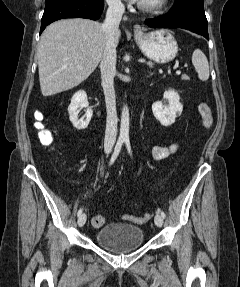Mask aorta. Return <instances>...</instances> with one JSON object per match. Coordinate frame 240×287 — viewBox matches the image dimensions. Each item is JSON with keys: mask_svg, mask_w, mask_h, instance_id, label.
Listing matches in <instances>:
<instances>
[{"mask_svg": "<svg viewBox=\"0 0 240 287\" xmlns=\"http://www.w3.org/2000/svg\"><path fill=\"white\" fill-rule=\"evenodd\" d=\"M129 108L125 105L121 113L120 135L121 140L129 139Z\"/></svg>", "mask_w": 240, "mask_h": 287, "instance_id": "1", "label": "aorta"}]
</instances>
